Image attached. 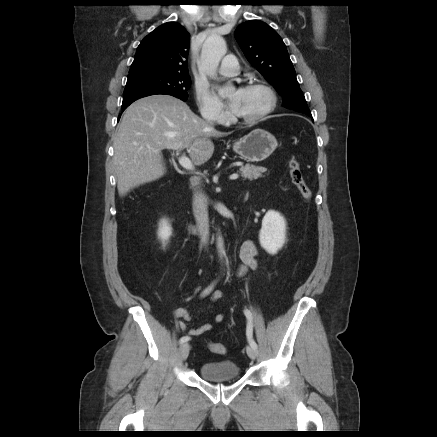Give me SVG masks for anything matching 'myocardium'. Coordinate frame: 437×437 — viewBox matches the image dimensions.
Masks as SVG:
<instances>
[{
  "label": "myocardium",
  "mask_w": 437,
  "mask_h": 437,
  "mask_svg": "<svg viewBox=\"0 0 437 437\" xmlns=\"http://www.w3.org/2000/svg\"><path fill=\"white\" fill-rule=\"evenodd\" d=\"M244 88H258L262 89L268 97V102L266 107L257 115L251 117H241L233 114L232 119L236 122L246 123V124H254L263 119H265L275 108L277 103V97L270 85L260 81H252L245 85Z\"/></svg>",
  "instance_id": "f54148a6"
}]
</instances>
